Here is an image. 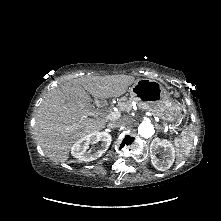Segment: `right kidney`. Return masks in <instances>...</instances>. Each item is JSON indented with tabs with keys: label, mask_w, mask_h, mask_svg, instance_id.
<instances>
[{
	"label": "right kidney",
	"mask_w": 221,
	"mask_h": 221,
	"mask_svg": "<svg viewBox=\"0 0 221 221\" xmlns=\"http://www.w3.org/2000/svg\"><path fill=\"white\" fill-rule=\"evenodd\" d=\"M112 137L107 132H95L79 139L71 148V154L79 161L90 162L101 157L109 148ZM97 150H88L90 144H97Z\"/></svg>",
	"instance_id": "obj_1"
}]
</instances>
